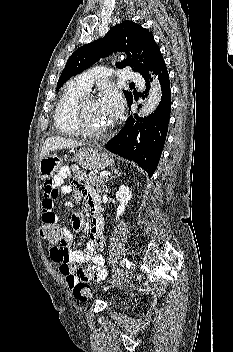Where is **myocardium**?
<instances>
[{
  "mask_svg": "<svg viewBox=\"0 0 233 352\" xmlns=\"http://www.w3.org/2000/svg\"><path fill=\"white\" fill-rule=\"evenodd\" d=\"M88 100H95L94 97L90 95H84L77 103L75 110V122L79 132L86 136H100L105 134L109 128L104 129H94L86 124L84 116V105Z\"/></svg>",
  "mask_w": 233,
  "mask_h": 352,
  "instance_id": "f54148a6",
  "label": "myocardium"
}]
</instances>
